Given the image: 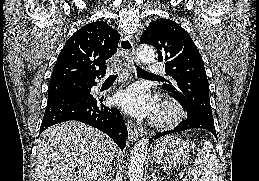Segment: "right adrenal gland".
<instances>
[{"label":"right adrenal gland","instance_id":"right-adrenal-gland-1","mask_svg":"<svg viewBox=\"0 0 259 181\" xmlns=\"http://www.w3.org/2000/svg\"><path fill=\"white\" fill-rule=\"evenodd\" d=\"M111 179H112V173H111V171H109V174L106 177L105 181H111Z\"/></svg>","mask_w":259,"mask_h":181}]
</instances>
